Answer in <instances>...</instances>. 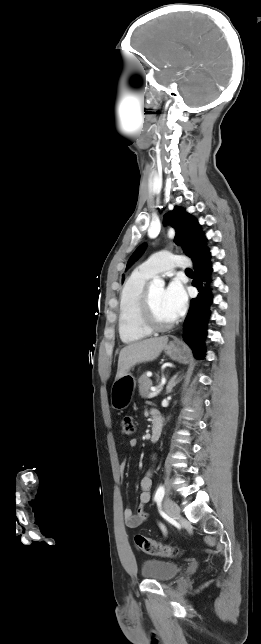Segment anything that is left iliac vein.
Instances as JSON below:
<instances>
[{
    "label": "left iliac vein",
    "mask_w": 261,
    "mask_h": 644,
    "mask_svg": "<svg viewBox=\"0 0 261 644\" xmlns=\"http://www.w3.org/2000/svg\"><path fill=\"white\" fill-rule=\"evenodd\" d=\"M164 509L172 518H178L180 515V508L173 500L166 498L164 501Z\"/></svg>",
    "instance_id": "4c4485c4"
}]
</instances>
